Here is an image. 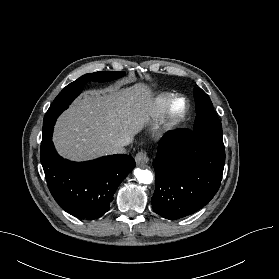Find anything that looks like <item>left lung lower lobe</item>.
Listing matches in <instances>:
<instances>
[{
  "label": "left lung lower lobe",
  "mask_w": 279,
  "mask_h": 279,
  "mask_svg": "<svg viewBox=\"0 0 279 279\" xmlns=\"http://www.w3.org/2000/svg\"><path fill=\"white\" fill-rule=\"evenodd\" d=\"M224 164V148L188 130L167 132L153 161V210L170 220L198 211L218 191Z\"/></svg>",
  "instance_id": "left-lung-lower-lobe-1"
}]
</instances>
